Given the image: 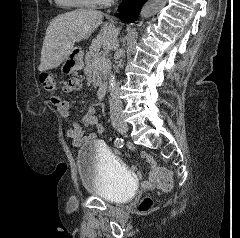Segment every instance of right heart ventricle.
Instances as JSON below:
<instances>
[{"label": "right heart ventricle", "instance_id": "1", "mask_svg": "<svg viewBox=\"0 0 240 238\" xmlns=\"http://www.w3.org/2000/svg\"><path fill=\"white\" fill-rule=\"evenodd\" d=\"M54 1L58 6L67 8V9L79 8V7L85 6L76 0H54Z\"/></svg>", "mask_w": 240, "mask_h": 238}]
</instances>
